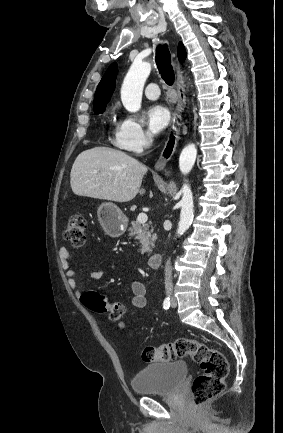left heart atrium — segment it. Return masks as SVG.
I'll return each instance as SVG.
<instances>
[{
  "mask_svg": "<svg viewBox=\"0 0 283 433\" xmlns=\"http://www.w3.org/2000/svg\"><path fill=\"white\" fill-rule=\"evenodd\" d=\"M169 111L160 105L152 106L148 111V127L153 134L161 133L168 125Z\"/></svg>",
  "mask_w": 283,
  "mask_h": 433,
  "instance_id": "39dd6f15",
  "label": "left heart atrium"
}]
</instances>
